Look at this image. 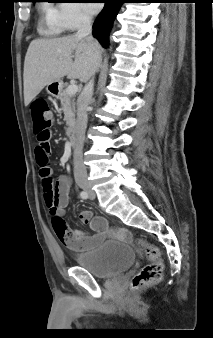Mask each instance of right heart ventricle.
<instances>
[{"mask_svg":"<svg viewBox=\"0 0 213 338\" xmlns=\"http://www.w3.org/2000/svg\"><path fill=\"white\" fill-rule=\"evenodd\" d=\"M45 15V31L48 35H58L64 32L65 27L58 21L57 18V9L52 6L44 7Z\"/></svg>","mask_w":213,"mask_h":338,"instance_id":"obj_1","label":"right heart ventricle"}]
</instances>
